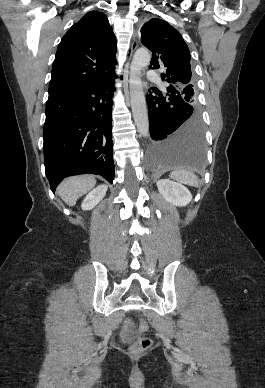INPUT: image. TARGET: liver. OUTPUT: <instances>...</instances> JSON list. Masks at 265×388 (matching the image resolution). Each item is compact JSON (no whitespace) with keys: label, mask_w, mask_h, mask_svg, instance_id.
<instances>
[{"label":"liver","mask_w":265,"mask_h":388,"mask_svg":"<svg viewBox=\"0 0 265 388\" xmlns=\"http://www.w3.org/2000/svg\"><path fill=\"white\" fill-rule=\"evenodd\" d=\"M95 184L94 176H72V178H66L59 184L57 194L65 204L74 206L78 198L90 192Z\"/></svg>","instance_id":"liver-1"}]
</instances>
